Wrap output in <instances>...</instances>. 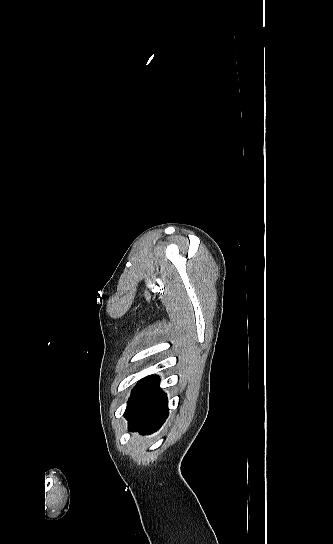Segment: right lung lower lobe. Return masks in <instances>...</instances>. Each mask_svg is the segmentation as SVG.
Listing matches in <instances>:
<instances>
[{
	"mask_svg": "<svg viewBox=\"0 0 333 544\" xmlns=\"http://www.w3.org/2000/svg\"><path fill=\"white\" fill-rule=\"evenodd\" d=\"M124 416L129 430L150 434L158 430L168 416L166 394L159 387V377L142 379L132 392Z\"/></svg>",
	"mask_w": 333,
	"mask_h": 544,
	"instance_id": "98d812e1",
	"label": "right lung lower lobe"
}]
</instances>
